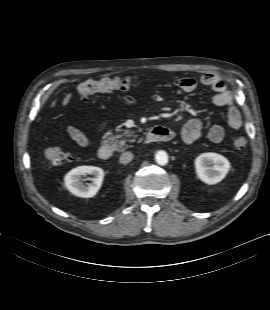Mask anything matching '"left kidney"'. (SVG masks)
I'll return each instance as SVG.
<instances>
[{
  "mask_svg": "<svg viewBox=\"0 0 270 310\" xmlns=\"http://www.w3.org/2000/svg\"><path fill=\"white\" fill-rule=\"evenodd\" d=\"M197 177L208 185L221 182L231 166L228 159L218 153H202L195 159Z\"/></svg>",
  "mask_w": 270,
  "mask_h": 310,
  "instance_id": "5707ae66",
  "label": "left kidney"
}]
</instances>
